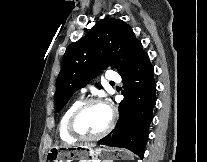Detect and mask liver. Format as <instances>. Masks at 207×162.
<instances>
[{
    "instance_id": "liver-1",
    "label": "liver",
    "mask_w": 207,
    "mask_h": 162,
    "mask_svg": "<svg viewBox=\"0 0 207 162\" xmlns=\"http://www.w3.org/2000/svg\"><path fill=\"white\" fill-rule=\"evenodd\" d=\"M77 146H85V147H88V148H90V147H95V145L94 144H80V145H77Z\"/></svg>"
}]
</instances>
